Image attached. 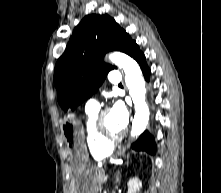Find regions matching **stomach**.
<instances>
[{
    "mask_svg": "<svg viewBox=\"0 0 221 193\" xmlns=\"http://www.w3.org/2000/svg\"><path fill=\"white\" fill-rule=\"evenodd\" d=\"M60 134H65L68 142L69 155H72V166L76 177V193H95L99 174L96 164L88 162L86 138L83 137V125L77 120V115H66V120H61Z\"/></svg>",
    "mask_w": 221,
    "mask_h": 193,
    "instance_id": "obj_1",
    "label": "stomach"
}]
</instances>
